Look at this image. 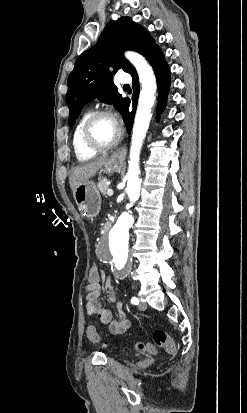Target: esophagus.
<instances>
[{
    "label": "esophagus",
    "instance_id": "1",
    "mask_svg": "<svg viewBox=\"0 0 247 413\" xmlns=\"http://www.w3.org/2000/svg\"><path fill=\"white\" fill-rule=\"evenodd\" d=\"M114 155H117L122 159L125 158V156H126V147L121 146V147L117 148L114 152Z\"/></svg>",
    "mask_w": 247,
    "mask_h": 413
}]
</instances>
